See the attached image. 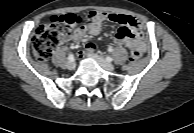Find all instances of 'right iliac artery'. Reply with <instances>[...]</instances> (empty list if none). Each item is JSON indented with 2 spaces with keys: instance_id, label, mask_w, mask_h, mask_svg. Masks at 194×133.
I'll use <instances>...</instances> for the list:
<instances>
[{
  "instance_id": "obj_1",
  "label": "right iliac artery",
  "mask_w": 194,
  "mask_h": 133,
  "mask_svg": "<svg viewBox=\"0 0 194 133\" xmlns=\"http://www.w3.org/2000/svg\"><path fill=\"white\" fill-rule=\"evenodd\" d=\"M68 60H69V61H74V55H73V54H69Z\"/></svg>"
}]
</instances>
